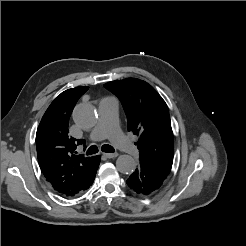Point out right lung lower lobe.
Returning <instances> with one entry per match:
<instances>
[{"mask_svg":"<svg viewBox=\"0 0 246 246\" xmlns=\"http://www.w3.org/2000/svg\"><path fill=\"white\" fill-rule=\"evenodd\" d=\"M94 163H95V165H94L95 168H94L92 174L86 180L85 184L81 187V189L79 190L77 195L82 194L86 189H88L92 185V183L95 179V175H96L98 166L100 164V156L99 155L95 156V162Z\"/></svg>","mask_w":246,"mask_h":246,"instance_id":"right-lung-lower-lobe-1","label":"right lung lower lobe"}]
</instances>
